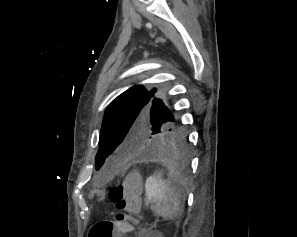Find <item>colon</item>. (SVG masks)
I'll list each match as a JSON object with an SVG mask.
<instances>
[{
    "mask_svg": "<svg viewBox=\"0 0 297 237\" xmlns=\"http://www.w3.org/2000/svg\"><path fill=\"white\" fill-rule=\"evenodd\" d=\"M140 180L137 176L127 175L119 186L109 190L110 201L118 213L112 220H102L95 223L89 230L88 237H121L132 232L136 222L124 214L125 211H138L140 203Z\"/></svg>",
    "mask_w": 297,
    "mask_h": 237,
    "instance_id": "colon-1",
    "label": "colon"
}]
</instances>
